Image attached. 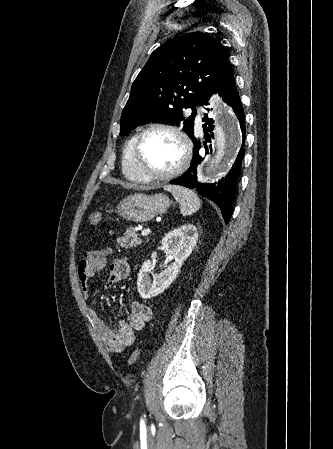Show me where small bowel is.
Instances as JSON below:
<instances>
[{"label": "small bowel", "instance_id": "obj_1", "mask_svg": "<svg viewBox=\"0 0 333 449\" xmlns=\"http://www.w3.org/2000/svg\"><path fill=\"white\" fill-rule=\"evenodd\" d=\"M109 252V250L88 252L78 264V279L83 297L87 302L92 299L90 279L106 267ZM128 271L129 267L126 260H113L109 265L104 288L109 289L125 279ZM88 313L100 339L110 351L114 352H122L132 346L136 340V333L142 330L145 323L152 318L151 307L137 301L131 304L128 320H119L115 329L109 327L91 305L88 307Z\"/></svg>", "mask_w": 333, "mask_h": 449}]
</instances>
